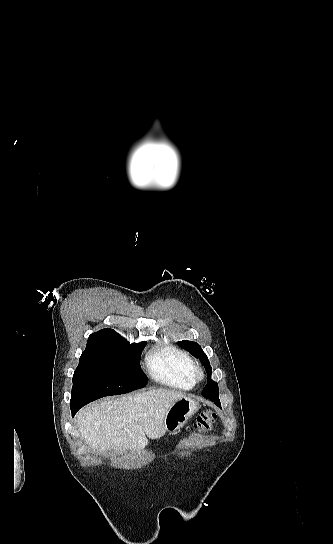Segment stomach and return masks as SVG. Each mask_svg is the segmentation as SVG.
I'll list each match as a JSON object with an SVG mask.
<instances>
[{
	"instance_id": "1",
	"label": "stomach",
	"mask_w": 333,
	"mask_h": 544,
	"mask_svg": "<svg viewBox=\"0 0 333 544\" xmlns=\"http://www.w3.org/2000/svg\"><path fill=\"white\" fill-rule=\"evenodd\" d=\"M199 404L190 399L182 398L168 410L163 422L164 432L173 433L179 430L198 410Z\"/></svg>"
}]
</instances>
